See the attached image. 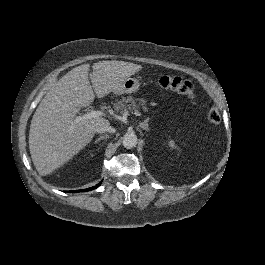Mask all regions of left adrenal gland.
Here are the masks:
<instances>
[{
  "instance_id": "a2214340",
  "label": "left adrenal gland",
  "mask_w": 265,
  "mask_h": 265,
  "mask_svg": "<svg viewBox=\"0 0 265 265\" xmlns=\"http://www.w3.org/2000/svg\"><path fill=\"white\" fill-rule=\"evenodd\" d=\"M149 118H146L143 122L139 123V127L142 128L143 130L149 131Z\"/></svg>"
}]
</instances>
